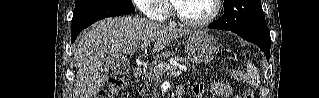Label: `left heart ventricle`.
Segmentation results:
<instances>
[{
  "label": "left heart ventricle",
  "instance_id": "left-heart-ventricle-1",
  "mask_svg": "<svg viewBox=\"0 0 319 98\" xmlns=\"http://www.w3.org/2000/svg\"><path fill=\"white\" fill-rule=\"evenodd\" d=\"M177 8L182 16L190 20H201L213 11L212 0H179Z\"/></svg>",
  "mask_w": 319,
  "mask_h": 98
}]
</instances>
